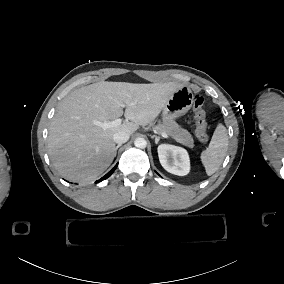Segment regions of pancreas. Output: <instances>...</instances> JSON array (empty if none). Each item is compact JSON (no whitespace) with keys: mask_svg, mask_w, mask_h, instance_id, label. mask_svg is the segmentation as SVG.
<instances>
[{"mask_svg":"<svg viewBox=\"0 0 284 284\" xmlns=\"http://www.w3.org/2000/svg\"><path fill=\"white\" fill-rule=\"evenodd\" d=\"M154 129L159 133H166L168 136L175 139L177 142L182 143L190 148L194 147V141L191 134L181 128L171 117H166L163 123L158 124Z\"/></svg>","mask_w":284,"mask_h":284,"instance_id":"1","label":"pancreas"}]
</instances>
